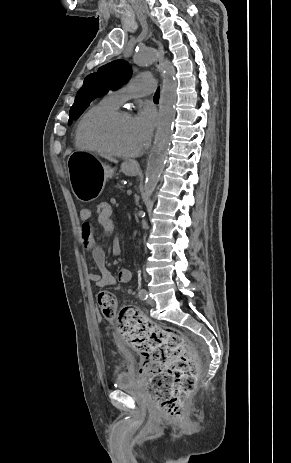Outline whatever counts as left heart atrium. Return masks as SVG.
I'll list each match as a JSON object with an SVG mask.
<instances>
[{
    "instance_id": "1",
    "label": "left heart atrium",
    "mask_w": 291,
    "mask_h": 463,
    "mask_svg": "<svg viewBox=\"0 0 291 463\" xmlns=\"http://www.w3.org/2000/svg\"><path fill=\"white\" fill-rule=\"evenodd\" d=\"M131 120L141 145L147 144L155 124L154 113L150 110H142L132 117Z\"/></svg>"
}]
</instances>
